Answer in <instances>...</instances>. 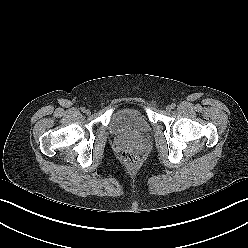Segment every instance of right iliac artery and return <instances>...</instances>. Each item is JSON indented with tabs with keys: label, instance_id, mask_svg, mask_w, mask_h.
Segmentation results:
<instances>
[{
	"label": "right iliac artery",
	"instance_id": "right-iliac-artery-1",
	"mask_svg": "<svg viewBox=\"0 0 248 248\" xmlns=\"http://www.w3.org/2000/svg\"><path fill=\"white\" fill-rule=\"evenodd\" d=\"M81 111H82V112H85V111H86L85 107H82V108H81Z\"/></svg>",
	"mask_w": 248,
	"mask_h": 248
}]
</instances>
